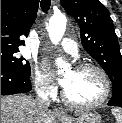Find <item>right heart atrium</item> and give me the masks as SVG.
I'll return each instance as SVG.
<instances>
[{
    "label": "right heart atrium",
    "instance_id": "right-heart-atrium-1",
    "mask_svg": "<svg viewBox=\"0 0 122 123\" xmlns=\"http://www.w3.org/2000/svg\"><path fill=\"white\" fill-rule=\"evenodd\" d=\"M34 84L38 94L43 97H51L56 91V88L51 81L39 70H36L35 72Z\"/></svg>",
    "mask_w": 122,
    "mask_h": 123
}]
</instances>
